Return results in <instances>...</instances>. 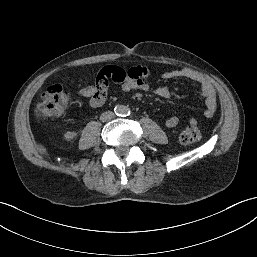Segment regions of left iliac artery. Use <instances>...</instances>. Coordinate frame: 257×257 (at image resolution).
Returning a JSON list of instances; mask_svg holds the SVG:
<instances>
[{
    "instance_id": "obj_1",
    "label": "left iliac artery",
    "mask_w": 257,
    "mask_h": 257,
    "mask_svg": "<svg viewBox=\"0 0 257 257\" xmlns=\"http://www.w3.org/2000/svg\"><path fill=\"white\" fill-rule=\"evenodd\" d=\"M125 114H126V116L131 115V111L129 109H126Z\"/></svg>"
}]
</instances>
